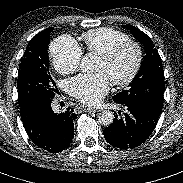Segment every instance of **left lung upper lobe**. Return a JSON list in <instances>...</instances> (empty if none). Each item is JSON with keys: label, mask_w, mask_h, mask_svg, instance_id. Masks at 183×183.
<instances>
[{"label": "left lung upper lobe", "mask_w": 183, "mask_h": 183, "mask_svg": "<svg viewBox=\"0 0 183 183\" xmlns=\"http://www.w3.org/2000/svg\"><path fill=\"white\" fill-rule=\"evenodd\" d=\"M144 45L145 56L128 90L113 96L119 104L137 103L160 114L163 106L164 73L161 58L150 37L132 25H124Z\"/></svg>", "instance_id": "1"}]
</instances>
